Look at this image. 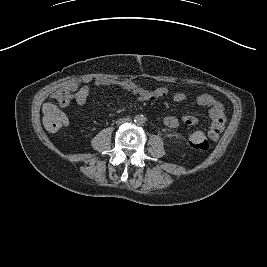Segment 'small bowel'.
<instances>
[{
	"instance_id": "obj_1",
	"label": "small bowel",
	"mask_w": 267,
	"mask_h": 267,
	"mask_svg": "<svg viewBox=\"0 0 267 267\" xmlns=\"http://www.w3.org/2000/svg\"><path fill=\"white\" fill-rule=\"evenodd\" d=\"M122 88L129 91L132 95L137 97L140 101H155L163 98L168 94L165 87H156L153 90L145 89L134 83H123ZM90 95V87L88 85H69L63 91L56 94L55 98L63 107H67L73 100L78 105L82 106L86 103ZM187 95L184 92H175L172 94V100L176 103L184 102ZM196 103L207 109L210 117V125L208 128V135L212 141H217L224 128L226 117L225 108L223 104L209 94H200L196 97ZM182 121L186 125H196L199 123V118L194 115H184ZM164 124L169 128H176L179 125V120L175 116H166ZM200 132V131H198ZM197 133V132H195ZM194 133V134H195Z\"/></svg>"
}]
</instances>
